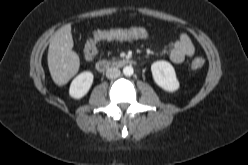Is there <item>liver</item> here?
<instances>
[{
	"label": "liver",
	"mask_w": 248,
	"mask_h": 165,
	"mask_svg": "<svg viewBox=\"0 0 248 165\" xmlns=\"http://www.w3.org/2000/svg\"><path fill=\"white\" fill-rule=\"evenodd\" d=\"M71 24L58 29L52 36L48 49V67L55 84L65 85L80 67V59L73 48Z\"/></svg>",
	"instance_id": "liver-1"
}]
</instances>
